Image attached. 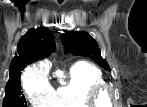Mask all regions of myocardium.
<instances>
[{
    "label": "myocardium",
    "mask_w": 147,
    "mask_h": 107,
    "mask_svg": "<svg viewBox=\"0 0 147 107\" xmlns=\"http://www.w3.org/2000/svg\"><path fill=\"white\" fill-rule=\"evenodd\" d=\"M90 103L94 107H106L114 103L113 89L106 84L94 88L90 93Z\"/></svg>",
    "instance_id": "obj_1"
}]
</instances>
